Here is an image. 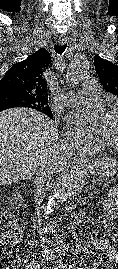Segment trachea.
I'll return each mask as SVG.
<instances>
[{
  "instance_id": "obj_1",
  "label": "trachea",
  "mask_w": 118,
  "mask_h": 269,
  "mask_svg": "<svg viewBox=\"0 0 118 269\" xmlns=\"http://www.w3.org/2000/svg\"><path fill=\"white\" fill-rule=\"evenodd\" d=\"M66 47H67V44H63V45H58V44H56V45L54 46V49H55V52H56V53H58V54H62V53L65 51Z\"/></svg>"
}]
</instances>
